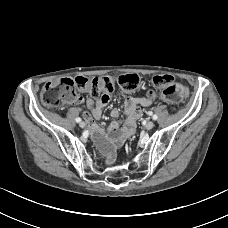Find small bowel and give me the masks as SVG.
<instances>
[{
    "mask_svg": "<svg viewBox=\"0 0 228 228\" xmlns=\"http://www.w3.org/2000/svg\"><path fill=\"white\" fill-rule=\"evenodd\" d=\"M109 100V94H103L96 100H88L87 106L90 113L85 112L84 117L96 143L108 158L113 160L115 150L134 132L136 121L142 116L141 107L151 106L154 99L148 96H129L124 102L126 119L123 125L120 126L117 121H113L105 130L99 127L94 120L101 118L102 111ZM110 115L112 118H117L119 116V110L112 109Z\"/></svg>",
    "mask_w": 228,
    "mask_h": 228,
    "instance_id": "small-bowel-1",
    "label": "small bowel"
}]
</instances>
